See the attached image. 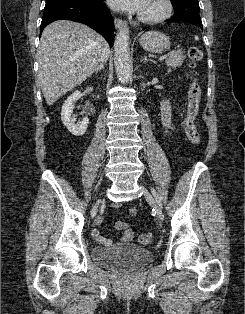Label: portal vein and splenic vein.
<instances>
[{
  "label": "portal vein and splenic vein",
  "mask_w": 245,
  "mask_h": 314,
  "mask_svg": "<svg viewBox=\"0 0 245 314\" xmlns=\"http://www.w3.org/2000/svg\"><path fill=\"white\" fill-rule=\"evenodd\" d=\"M168 57V54H165V55H163V56H161L160 58H159V60L161 61V60H164V59H166Z\"/></svg>",
  "instance_id": "obj_1"
}]
</instances>
